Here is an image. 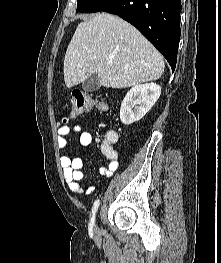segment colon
<instances>
[{
    "mask_svg": "<svg viewBox=\"0 0 221 263\" xmlns=\"http://www.w3.org/2000/svg\"><path fill=\"white\" fill-rule=\"evenodd\" d=\"M95 107L103 108L104 103L84 94H73L71 98L70 118H76Z\"/></svg>",
    "mask_w": 221,
    "mask_h": 263,
    "instance_id": "obj_1",
    "label": "colon"
}]
</instances>
